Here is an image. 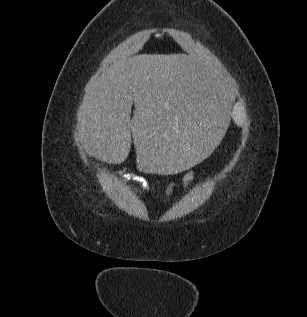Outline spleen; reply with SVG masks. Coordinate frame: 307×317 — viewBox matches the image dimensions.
I'll use <instances>...</instances> for the list:
<instances>
[{
  "instance_id": "1",
  "label": "spleen",
  "mask_w": 307,
  "mask_h": 317,
  "mask_svg": "<svg viewBox=\"0 0 307 317\" xmlns=\"http://www.w3.org/2000/svg\"><path fill=\"white\" fill-rule=\"evenodd\" d=\"M233 117H234L235 122H237V124H239L241 122V118L238 116L237 113L234 112Z\"/></svg>"
}]
</instances>
